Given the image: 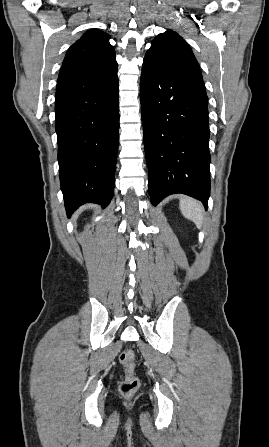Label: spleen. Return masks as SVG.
Wrapping results in <instances>:
<instances>
[{
	"mask_svg": "<svg viewBox=\"0 0 269 447\" xmlns=\"http://www.w3.org/2000/svg\"><path fill=\"white\" fill-rule=\"evenodd\" d=\"M180 212L187 220H192L194 224L201 229L203 224V208L200 202L188 198V196H180Z\"/></svg>",
	"mask_w": 269,
	"mask_h": 447,
	"instance_id": "3e777b00",
	"label": "spleen"
}]
</instances>
